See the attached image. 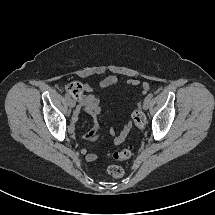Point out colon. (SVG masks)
Masks as SVG:
<instances>
[{
	"instance_id": "colon-1",
	"label": "colon",
	"mask_w": 215,
	"mask_h": 215,
	"mask_svg": "<svg viewBox=\"0 0 215 215\" xmlns=\"http://www.w3.org/2000/svg\"><path fill=\"white\" fill-rule=\"evenodd\" d=\"M66 91L73 97L78 98L83 91L82 84L79 82H76V81L70 82L66 86ZM132 119L137 128H139V129L144 128L145 116L141 112L138 105H136V107L132 113ZM131 155H132V148L126 147L122 150L112 153L111 157L117 161H123V160L130 158ZM108 173H109V175H111L114 178H120L124 175V169L120 165L112 164L108 167Z\"/></svg>"
}]
</instances>
